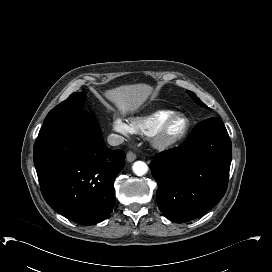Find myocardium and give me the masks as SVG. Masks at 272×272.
<instances>
[{
	"mask_svg": "<svg viewBox=\"0 0 272 272\" xmlns=\"http://www.w3.org/2000/svg\"><path fill=\"white\" fill-rule=\"evenodd\" d=\"M183 120L184 125L183 128L177 133H170V129L172 125L179 121ZM190 128L189 120L181 115L175 114L168 118L159 128L158 130L152 135L153 143L163 149L170 148L177 143L181 142L187 135Z\"/></svg>",
	"mask_w": 272,
	"mask_h": 272,
	"instance_id": "myocardium-1",
	"label": "myocardium"
}]
</instances>
